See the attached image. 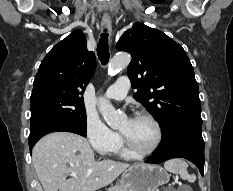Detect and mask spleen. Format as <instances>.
Masks as SVG:
<instances>
[{"label":"spleen","mask_w":233,"mask_h":191,"mask_svg":"<svg viewBox=\"0 0 233 191\" xmlns=\"http://www.w3.org/2000/svg\"><path fill=\"white\" fill-rule=\"evenodd\" d=\"M164 167L167 171L173 174H179L180 177L184 180H188L189 182H194L196 180V176L194 174L188 173V164L181 159L168 160L165 162Z\"/></svg>","instance_id":"1"}]
</instances>
